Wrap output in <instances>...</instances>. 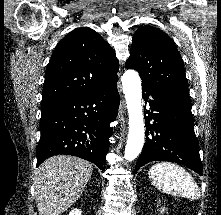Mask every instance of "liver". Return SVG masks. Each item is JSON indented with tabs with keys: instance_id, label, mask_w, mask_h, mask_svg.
I'll return each mask as SVG.
<instances>
[{
	"instance_id": "liver-1",
	"label": "liver",
	"mask_w": 221,
	"mask_h": 215,
	"mask_svg": "<svg viewBox=\"0 0 221 215\" xmlns=\"http://www.w3.org/2000/svg\"><path fill=\"white\" fill-rule=\"evenodd\" d=\"M93 165L83 159L58 155L45 160L35 174V201L39 215H60L83 193Z\"/></svg>"
}]
</instances>
